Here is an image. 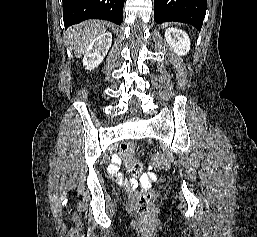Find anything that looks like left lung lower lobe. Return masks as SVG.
Listing matches in <instances>:
<instances>
[{
    "mask_svg": "<svg viewBox=\"0 0 257 237\" xmlns=\"http://www.w3.org/2000/svg\"><path fill=\"white\" fill-rule=\"evenodd\" d=\"M154 20L157 23L182 22L201 30L207 0H154Z\"/></svg>",
    "mask_w": 257,
    "mask_h": 237,
    "instance_id": "left-lung-lower-lobe-1",
    "label": "left lung lower lobe"
}]
</instances>
